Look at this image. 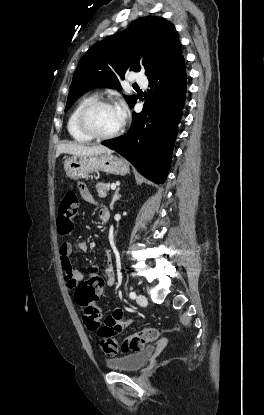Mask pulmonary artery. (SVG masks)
Here are the masks:
<instances>
[{
    "mask_svg": "<svg viewBox=\"0 0 264 415\" xmlns=\"http://www.w3.org/2000/svg\"><path fill=\"white\" fill-rule=\"evenodd\" d=\"M133 81L136 82L137 84H141L143 86H145L146 83H147L146 78L142 75L133 76Z\"/></svg>",
    "mask_w": 264,
    "mask_h": 415,
    "instance_id": "1",
    "label": "pulmonary artery"
}]
</instances>
